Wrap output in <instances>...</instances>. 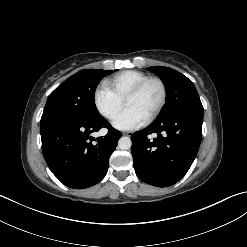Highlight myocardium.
<instances>
[{
  "label": "myocardium",
  "instance_id": "myocardium-1",
  "mask_svg": "<svg viewBox=\"0 0 247 247\" xmlns=\"http://www.w3.org/2000/svg\"><path fill=\"white\" fill-rule=\"evenodd\" d=\"M156 83L161 91V97L160 100L157 104V106L154 108V110L151 112V114L148 116V121H152L153 119H155L160 112L162 111V109L164 108L166 102H167V97H168V90H167V86L165 84V82L160 78V77H156V76H151V77H147L146 79L140 81L138 84H136L125 96L124 98V102L126 103V101L136 95H138L140 92H142V90L150 83Z\"/></svg>",
  "mask_w": 247,
  "mask_h": 247
}]
</instances>
